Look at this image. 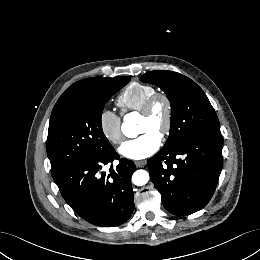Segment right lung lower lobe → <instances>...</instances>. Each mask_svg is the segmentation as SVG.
I'll return each instance as SVG.
<instances>
[{
  "label": "right lung lower lobe",
  "instance_id": "98d812e1",
  "mask_svg": "<svg viewBox=\"0 0 260 260\" xmlns=\"http://www.w3.org/2000/svg\"><path fill=\"white\" fill-rule=\"evenodd\" d=\"M114 159L116 169L106 176L102 167ZM135 164L113 149L108 154L77 160L53 176L65 201L84 220L97 226L113 227L124 223L134 209L131 176Z\"/></svg>",
  "mask_w": 260,
  "mask_h": 260
}]
</instances>
